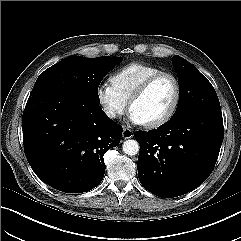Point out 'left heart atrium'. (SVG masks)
<instances>
[{"instance_id":"1","label":"left heart atrium","mask_w":241,"mask_h":241,"mask_svg":"<svg viewBox=\"0 0 241 241\" xmlns=\"http://www.w3.org/2000/svg\"><path fill=\"white\" fill-rule=\"evenodd\" d=\"M130 118L136 124H143V122L132 112H131Z\"/></svg>"}]
</instances>
